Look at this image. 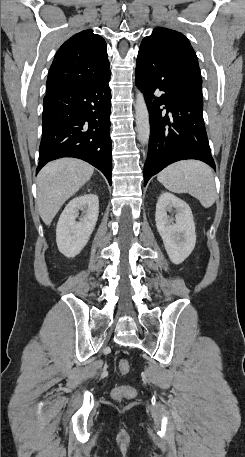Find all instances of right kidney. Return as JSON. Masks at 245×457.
I'll return each mask as SVG.
<instances>
[{"label":"right kidney","instance_id":"1","mask_svg":"<svg viewBox=\"0 0 245 457\" xmlns=\"http://www.w3.org/2000/svg\"><path fill=\"white\" fill-rule=\"evenodd\" d=\"M79 210H82L79 216ZM99 212L97 194H80L66 204L56 229V243L59 251L68 257H76L84 249L94 231ZM79 218V220H76Z\"/></svg>","mask_w":245,"mask_h":457}]
</instances>
